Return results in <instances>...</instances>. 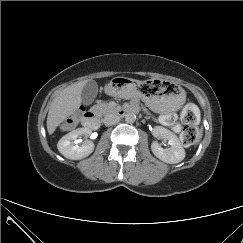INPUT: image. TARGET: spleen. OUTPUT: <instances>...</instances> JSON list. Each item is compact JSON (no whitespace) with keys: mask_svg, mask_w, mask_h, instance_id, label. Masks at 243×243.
<instances>
[{"mask_svg":"<svg viewBox=\"0 0 243 243\" xmlns=\"http://www.w3.org/2000/svg\"><path fill=\"white\" fill-rule=\"evenodd\" d=\"M201 137H202V130H200V131L197 133L195 143H198V142L201 140Z\"/></svg>","mask_w":243,"mask_h":243,"instance_id":"3e777b00","label":"spleen"}]
</instances>
